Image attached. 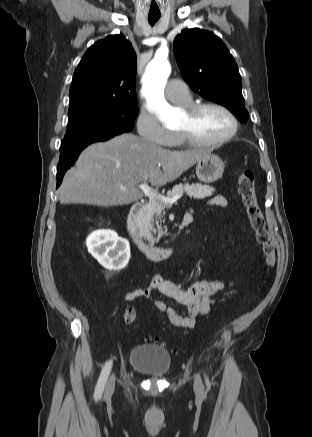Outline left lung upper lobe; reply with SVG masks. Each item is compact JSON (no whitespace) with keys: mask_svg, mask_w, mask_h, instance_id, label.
<instances>
[{"mask_svg":"<svg viewBox=\"0 0 312 437\" xmlns=\"http://www.w3.org/2000/svg\"><path fill=\"white\" fill-rule=\"evenodd\" d=\"M174 53L184 80L195 92L247 122L238 66L220 38L198 28L184 30L175 38Z\"/></svg>","mask_w":312,"mask_h":437,"instance_id":"1","label":"left lung upper lobe"}]
</instances>
